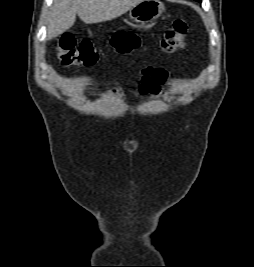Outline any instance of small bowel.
I'll return each mask as SVG.
<instances>
[{
    "label": "small bowel",
    "instance_id": "c3829d8e",
    "mask_svg": "<svg viewBox=\"0 0 254 267\" xmlns=\"http://www.w3.org/2000/svg\"><path fill=\"white\" fill-rule=\"evenodd\" d=\"M168 79V71L163 68L148 67L137 75L135 88L130 91V95L139 98L147 94L153 96L162 95L161 86ZM108 97L124 98L125 94L119 89L110 88L106 91Z\"/></svg>",
    "mask_w": 254,
    "mask_h": 267
}]
</instances>
